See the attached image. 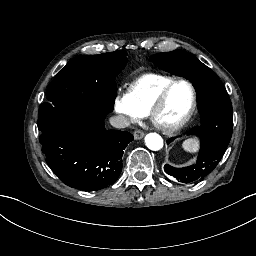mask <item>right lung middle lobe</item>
Returning a JSON list of instances; mask_svg holds the SVG:
<instances>
[{"label": "right lung middle lobe", "instance_id": "right-lung-middle-lobe-1", "mask_svg": "<svg viewBox=\"0 0 256 256\" xmlns=\"http://www.w3.org/2000/svg\"><path fill=\"white\" fill-rule=\"evenodd\" d=\"M126 62L124 50L71 59L49 84L46 103L39 108L38 127L48 120L75 112L106 116L114 107L115 77Z\"/></svg>", "mask_w": 256, "mask_h": 256}]
</instances>
